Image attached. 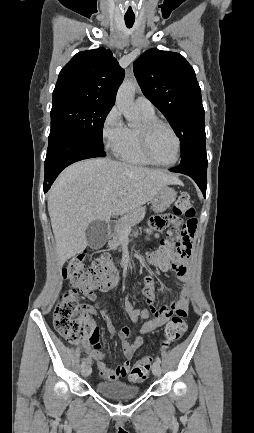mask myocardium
<instances>
[{
  "mask_svg": "<svg viewBox=\"0 0 254 433\" xmlns=\"http://www.w3.org/2000/svg\"><path fill=\"white\" fill-rule=\"evenodd\" d=\"M159 127L166 128L174 137L177 145L176 150V156L175 159L170 163H161L155 159V157L152 154L151 148H150V137L153 131ZM138 138L140 143L141 151L144 155V157L153 165L160 166V167H172L175 164L178 163L180 156H181V141L178 136V134L175 132V130L166 122L154 119V120H145L143 121L142 125L138 128Z\"/></svg>",
  "mask_w": 254,
  "mask_h": 433,
  "instance_id": "f54148a6",
  "label": "myocardium"
}]
</instances>
